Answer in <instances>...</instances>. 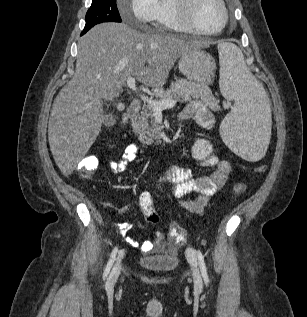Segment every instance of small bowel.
<instances>
[{"label":"small bowel","instance_id":"small-bowel-1","mask_svg":"<svg viewBox=\"0 0 307 317\" xmlns=\"http://www.w3.org/2000/svg\"><path fill=\"white\" fill-rule=\"evenodd\" d=\"M181 120L194 119L204 127H212L215 119L208 108L199 101L190 103L180 115ZM139 152L137 144L128 145L121 156L110 161V169L114 173H121L127 164L133 161ZM203 165L213 169L209 176L194 177L189 168L167 167L158 184L166 185L170 192L179 200L180 206L193 214L202 215L207 207L210 197L219 191L232 174V167L228 161L219 160L215 156L207 158ZM194 195L192 199H185L189 195ZM117 227L124 234L131 228L130 223L117 224ZM139 245L137 242H131ZM142 252H149L153 248L163 246V234L156 233L154 241H145L139 245Z\"/></svg>","mask_w":307,"mask_h":317}]
</instances>
